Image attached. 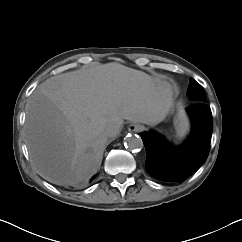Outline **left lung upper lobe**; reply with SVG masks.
Wrapping results in <instances>:
<instances>
[{
  "label": "left lung upper lobe",
  "mask_w": 242,
  "mask_h": 242,
  "mask_svg": "<svg viewBox=\"0 0 242 242\" xmlns=\"http://www.w3.org/2000/svg\"><path fill=\"white\" fill-rule=\"evenodd\" d=\"M187 94L190 99L195 102H206L207 98L204 90L200 84H198L194 79H190Z\"/></svg>",
  "instance_id": "obj_1"
}]
</instances>
